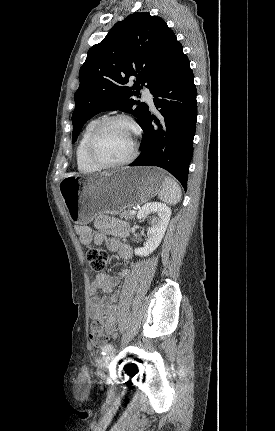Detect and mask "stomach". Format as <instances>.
Wrapping results in <instances>:
<instances>
[{
    "mask_svg": "<svg viewBox=\"0 0 275 431\" xmlns=\"http://www.w3.org/2000/svg\"><path fill=\"white\" fill-rule=\"evenodd\" d=\"M164 184L161 169L123 168L92 177L66 176L59 192L72 222L87 225L99 212L118 214L158 194Z\"/></svg>",
    "mask_w": 275,
    "mask_h": 431,
    "instance_id": "0dacf381",
    "label": "stomach"
}]
</instances>
